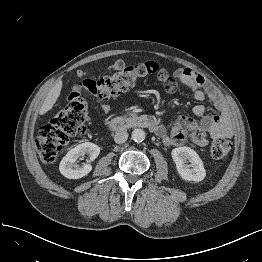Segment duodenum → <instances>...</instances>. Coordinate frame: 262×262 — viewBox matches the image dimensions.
Segmentation results:
<instances>
[{
  "label": "duodenum",
  "mask_w": 262,
  "mask_h": 262,
  "mask_svg": "<svg viewBox=\"0 0 262 262\" xmlns=\"http://www.w3.org/2000/svg\"><path fill=\"white\" fill-rule=\"evenodd\" d=\"M154 123L151 120L148 119H137V118H131V117H118L114 120H111L108 123V128L111 131H123L130 128H136V127H142V128H153Z\"/></svg>",
  "instance_id": "1"
}]
</instances>
